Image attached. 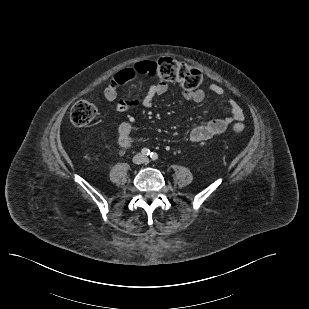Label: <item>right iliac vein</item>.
Listing matches in <instances>:
<instances>
[{
	"label": "right iliac vein",
	"mask_w": 309,
	"mask_h": 309,
	"mask_svg": "<svg viewBox=\"0 0 309 309\" xmlns=\"http://www.w3.org/2000/svg\"><path fill=\"white\" fill-rule=\"evenodd\" d=\"M133 162L135 164H141L143 162V156L141 154H137L136 156H134Z\"/></svg>",
	"instance_id": "63e3f726"
}]
</instances>
